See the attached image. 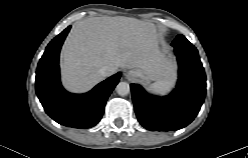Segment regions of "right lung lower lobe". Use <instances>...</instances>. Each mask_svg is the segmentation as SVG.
<instances>
[{
    "label": "right lung lower lobe",
    "instance_id": "right-lung-lower-lobe-1",
    "mask_svg": "<svg viewBox=\"0 0 248 158\" xmlns=\"http://www.w3.org/2000/svg\"><path fill=\"white\" fill-rule=\"evenodd\" d=\"M70 26L46 47L36 71V93L45 112L61 125L90 128L101 119L106 100L119 82L121 73L109 77L85 94L63 89L59 74V52Z\"/></svg>",
    "mask_w": 248,
    "mask_h": 158
}]
</instances>
